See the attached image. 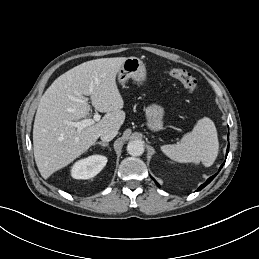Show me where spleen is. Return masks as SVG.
I'll return each mask as SVG.
<instances>
[{"label":"spleen","mask_w":259,"mask_h":259,"mask_svg":"<svg viewBox=\"0 0 259 259\" xmlns=\"http://www.w3.org/2000/svg\"><path fill=\"white\" fill-rule=\"evenodd\" d=\"M161 150L176 162H202L205 167H209L216 160L219 151L215 125L209 118H202L191 132L182 137L180 143L164 145Z\"/></svg>","instance_id":"obj_1"}]
</instances>
